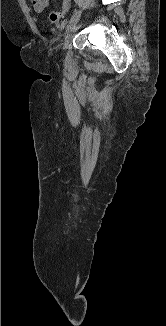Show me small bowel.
<instances>
[{"instance_id":"c3829d8e","label":"small bowel","mask_w":166,"mask_h":326,"mask_svg":"<svg viewBox=\"0 0 166 326\" xmlns=\"http://www.w3.org/2000/svg\"><path fill=\"white\" fill-rule=\"evenodd\" d=\"M36 13H43L49 6V0H30Z\"/></svg>"}]
</instances>
